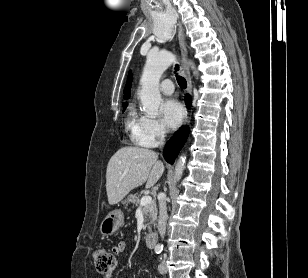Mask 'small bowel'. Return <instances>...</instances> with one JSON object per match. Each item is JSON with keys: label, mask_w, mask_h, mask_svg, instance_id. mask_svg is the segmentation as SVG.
<instances>
[{"label": "small bowel", "mask_w": 308, "mask_h": 278, "mask_svg": "<svg viewBox=\"0 0 308 278\" xmlns=\"http://www.w3.org/2000/svg\"><path fill=\"white\" fill-rule=\"evenodd\" d=\"M126 249V243L125 242H119L117 245H115L112 248V252L115 256L120 255L123 253ZM105 278H111V272H108L105 276Z\"/></svg>", "instance_id": "obj_1"}]
</instances>
